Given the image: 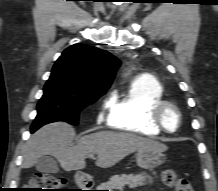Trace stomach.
I'll return each instance as SVG.
<instances>
[{"label":"stomach","instance_id":"obj_1","mask_svg":"<svg viewBox=\"0 0 218 191\" xmlns=\"http://www.w3.org/2000/svg\"><path fill=\"white\" fill-rule=\"evenodd\" d=\"M137 165L140 168L152 170L165 162L162 152L156 150H140L136 154ZM75 179L78 183L85 180V175L81 172L76 173Z\"/></svg>","mask_w":218,"mask_h":191}]
</instances>
